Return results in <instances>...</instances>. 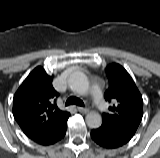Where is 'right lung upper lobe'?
<instances>
[{"mask_svg": "<svg viewBox=\"0 0 160 158\" xmlns=\"http://www.w3.org/2000/svg\"><path fill=\"white\" fill-rule=\"evenodd\" d=\"M53 76L36 67L23 81L13 98V115L22 131L37 141L64 125L70 113L58 108L59 93L52 86Z\"/></svg>", "mask_w": 160, "mask_h": 158, "instance_id": "right-lung-upper-lobe-1", "label": "right lung upper lobe"}]
</instances>
